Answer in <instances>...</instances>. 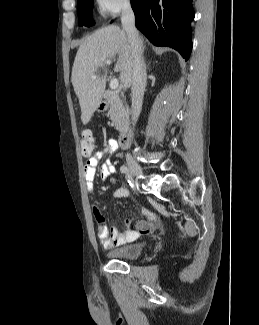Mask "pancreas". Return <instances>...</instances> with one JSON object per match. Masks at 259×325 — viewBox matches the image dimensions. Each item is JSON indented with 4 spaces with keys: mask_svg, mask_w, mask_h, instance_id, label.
Masks as SVG:
<instances>
[{
    "mask_svg": "<svg viewBox=\"0 0 259 325\" xmlns=\"http://www.w3.org/2000/svg\"><path fill=\"white\" fill-rule=\"evenodd\" d=\"M108 104L110 107L108 115L113 125L120 133L125 132L129 122V110L127 105L117 92H111L108 95Z\"/></svg>",
    "mask_w": 259,
    "mask_h": 325,
    "instance_id": "pancreas-1",
    "label": "pancreas"
}]
</instances>
